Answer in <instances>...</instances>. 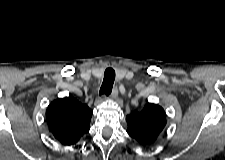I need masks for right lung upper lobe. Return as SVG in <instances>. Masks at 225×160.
<instances>
[{
	"label": "right lung upper lobe",
	"instance_id": "right-lung-upper-lobe-1",
	"mask_svg": "<svg viewBox=\"0 0 225 160\" xmlns=\"http://www.w3.org/2000/svg\"><path fill=\"white\" fill-rule=\"evenodd\" d=\"M92 110L77 99L65 97L53 101L46 110L49 131L63 145L71 146L89 132Z\"/></svg>",
	"mask_w": 225,
	"mask_h": 160
}]
</instances>
